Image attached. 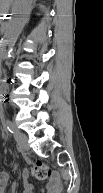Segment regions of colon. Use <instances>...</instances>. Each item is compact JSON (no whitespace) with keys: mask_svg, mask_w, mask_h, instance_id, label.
<instances>
[{"mask_svg":"<svg viewBox=\"0 0 103 193\" xmlns=\"http://www.w3.org/2000/svg\"><path fill=\"white\" fill-rule=\"evenodd\" d=\"M32 175L38 180H47L53 177L54 173L51 169L40 161H33L30 163Z\"/></svg>","mask_w":103,"mask_h":193,"instance_id":"colon-1","label":"colon"}]
</instances>
